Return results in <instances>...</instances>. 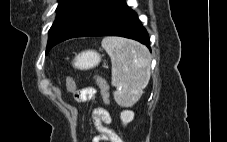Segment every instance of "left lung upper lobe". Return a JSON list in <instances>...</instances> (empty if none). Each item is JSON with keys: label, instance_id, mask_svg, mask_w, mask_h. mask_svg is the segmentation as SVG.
Listing matches in <instances>:
<instances>
[{"label": "left lung upper lobe", "instance_id": "1", "mask_svg": "<svg viewBox=\"0 0 227 142\" xmlns=\"http://www.w3.org/2000/svg\"><path fill=\"white\" fill-rule=\"evenodd\" d=\"M111 0H59L57 16L49 30L46 53L69 39L94 18Z\"/></svg>", "mask_w": 227, "mask_h": 142}]
</instances>
